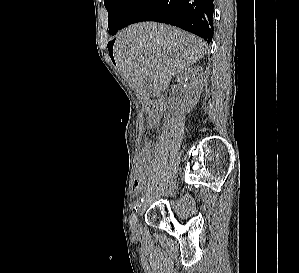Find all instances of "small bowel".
<instances>
[{"label": "small bowel", "instance_id": "1", "mask_svg": "<svg viewBox=\"0 0 299 273\" xmlns=\"http://www.w3.org/2000/svg\"><path fill=\"white\" fill-rule=\"evenodd\" d=\"M160 121V115L155 109L147 112V123L150 128H156ZM152 161V152L142 149L140 153L139 168L134 181L133 190L135 193L141 192L147 183V170Z\"/></svg>", "mask_w": 299, "mask_h": 273}]
</instances>
